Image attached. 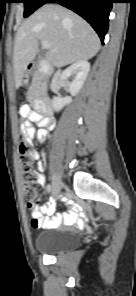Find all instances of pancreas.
I'll list each match as a JSON object with an SVG mask.
<instances>
[{"mask_svg": "<svg viewBox=\"0 0 136 296\" xmlns=\"http://www.w3.org/2000/svg\"><path fill=\"white\" fill-rule=\"evenodd\" d=\"M41 90H42V88H40V87L38 86L37 79H35V80L33 81L32 85H31L30 88H29L28 95H29L30 97L37 96Z\"/></svg>", "mask_w": 136, "mask_h": 296, "instance_id": "cf45deb5", "label": "pancreas"}]
</instances>
